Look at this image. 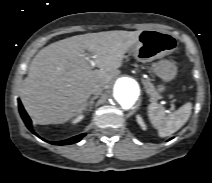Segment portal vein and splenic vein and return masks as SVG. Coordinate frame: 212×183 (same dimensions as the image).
Masks as SVG:
<instances>
[{
	"label": "portal vein and splenic vein",
	"instance_id": "18ae733b",
	"mask_svg": "<svg viewBox=\"0 0 212 183\" xmlns=\"http://www.w3.org/2000/svg\"><path fill=\"white\" fill-rule=\"evenodd\" d=\"M96 56H86V59L89 61V63H90V65H91V67H94L95 66V63H94V61H93V59L95 58ZM160 98H162V97H160ZM174 104H171V110H173L174 109Z\"/></svg>",
	"mask_w": 212,
	"mask_h": 183
}]
</instances>
